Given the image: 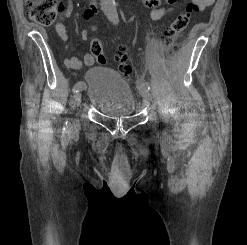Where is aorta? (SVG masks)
I'll use <instances>...</instances> for the list:
<instances>
[{
  "label": "aorta",
  "mask_w": 247,
  "mask_h": 245,
  "mask_svg": "<svg viewBox=\"0 0 247 245\" xmlns=\"http://www.w3.org/2000/svg\"><path fill=\"white\" fill-rule=\"evenodd\" d=\"M105 15L112 23H118L119 17L115 0H102Z\"/></svg>",
  "instance_id": "obj_1"
}]
</instances>
